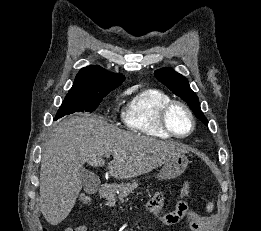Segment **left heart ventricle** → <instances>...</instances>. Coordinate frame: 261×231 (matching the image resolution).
<instances>
[{
  "instance_id": "left-heart-ventricle-1",
  "label": "left heart ventricle",
  "mask_w": 261,
  "mask_h": 231,
  "mask_svg": "<svg viewBox=\"0 0 261 231\" xmlns=\"http://www.w3.org/2000/svg\"><path fill=\"white\" fill-rule=\"evenodd\" d=\"M169 123L172 129L181 135L189 132L191 128V122L188 114L181 107H175L169 114Z\"/></svg>"
}]
</instances>
